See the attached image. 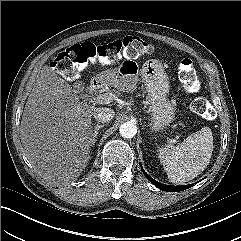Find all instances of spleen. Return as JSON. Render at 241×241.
I'll return each mask as SVG.
<instances>
[{
	"mask_svg": "<svg viewBox=\"0 0 241 241\" xmlns=\"http://www.w3.org/2000/svg\"><path fill=\"white\" fill-rule=\"evenodd\" d=\"M213 136L204 127L173 148H160L159 159L170 182L184 184L197 177L209 164L213 152Z\"/></svg>",
	"mask_w": 241,
	"mask_h": 241,
	"instance_id": "obj_1",
	"label": "spleen"
}]
</instances>
